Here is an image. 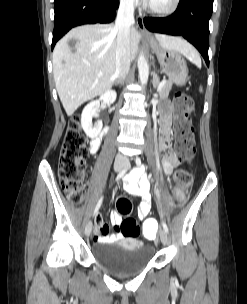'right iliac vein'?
<instances>
[{
    "instance_id": "1",
    "label": "right iliac vein",
    "mask_w": 247,
    "mask_h": 304,
    "mask_svg": "<svg viewBox=\"0 0 247 304\" xmlns=\"http://www.w3.org/2000/svg\"><path fill=\"white\" fill-rule=\"evenodd\" d=\"M123 166L121 164H116L115 165V171L116 172H120L122 170ZM91 231H92V222L91 221H88L86 226H85V235L87 237L90 236L91 234Z\"/></svg>"
}]
</instances>
